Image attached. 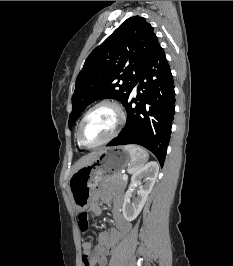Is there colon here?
Returning <instances> with one entry per match:
<instances>
[{
    "mask_svg": "<svg viewBox=\"0 0 233 266\" xmlns=\"http://www.w3.org/2000/svg\"><path fill=\"white\" fill-rule=\"evenodd\" d=\"M78 226L80 231L85 232L88 229L89 222H88V216L86 212H81L78 216ZM85 263L87 266L91 265V258L86 257Z\"/></svg>",
    "mask_w": 233,
    "mask_h": 266,
    "instance_id": "1",
    "label": "colon"
}]
</instances>
